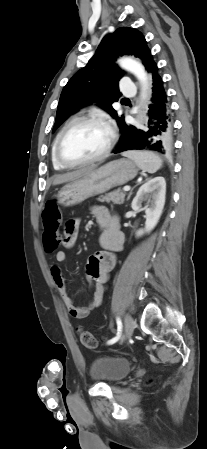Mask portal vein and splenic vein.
<instances>
[{"label": "portal vein and splenic vein", "instance_id": "1", "mask_svg": "<svg viewBox=\"0 0 207 449\" xmlns=\"http://www.w3.org/2000/svg\"><path fill=\"white\" fill-rule=\"evenodd\" d=\"M123 190H124V191H129V190H130V186H125V187L123 188Z\"/></svg>", "mask_w": 207, "mask_h": 449}]
</instances>
